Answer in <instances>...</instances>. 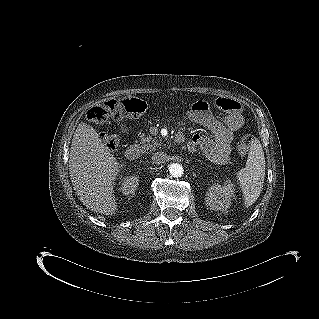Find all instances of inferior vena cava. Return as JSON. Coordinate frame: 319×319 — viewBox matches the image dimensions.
Segmentation results:
<instances>
[{
	"instance_id": "obj_1",
	"label": "inferior vena cava",
	"mask_w": 319,
	"mask_h": 319,
	"mask_svg": "<svg viewBox=\"0 0 319 319\" xmlns=\"http://www.w3.org/2000/svg\"><path fill=\"white\" fill-rule=\"evenodd\" d=\"M152 161L156 165L166 163L168 161V155L164 152H156L152 155Z\"/></svg>"
}]
</instances>
